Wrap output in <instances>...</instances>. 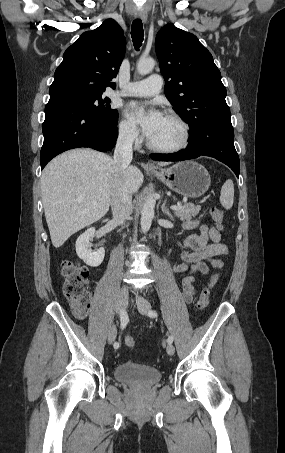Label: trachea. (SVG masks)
Listing matches in <instances>:
<instances>
[{
  "label": "trachea",
  "instance_id": "obj_1",
  "mask_svg": "<svg viewBox=\"0 0 285 453\" xmlns=\"http://www.w3.org/2000/svg\"><path fill=\"white\" fill-rule=\"evenodd\" d=\"M131 37L135 49L138 51L144 39L143 24L140 19H135L131 26Z\"/></svg>",
  "mask_w": 285,
  "mask_h": 453
}]
</instances>
